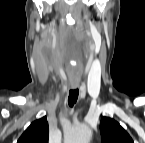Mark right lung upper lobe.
<instances>
[{"mask_svg": "<svg viewBox=\"0 0 145 143\" xmlns=\"http://www.w3.org/2000/svg\"><path fill=\"white\" fill-rule=\"evenodd\" d=\"M49 127L46 116L34 121L17 143H48Z\"/></svg>", "mask_w": 145, "mask_h": 143, "instance_id": "cb5924a9", "label": "right lung upper lobe"}]
</instances>
